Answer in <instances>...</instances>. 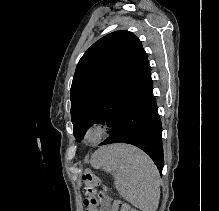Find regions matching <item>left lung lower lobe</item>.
Wrapping results in <instances>:
<instances>
[{"label":"left lung lower lobe","mask_w":219,"mask_h":211,"mask_svg":"<svg viewBox=\"0 0 219 211\" xmlns=\"http://www.w3.org/2000/svg\"><path fill=\"white\" fill-rule=\"evenodd\" d=\"M112 143H127L142 149L162 172V124L153 95L152 80L130 102L110 137L100 145Z\"/></svg>","instance_id":"obj_1"}]
</instances>
